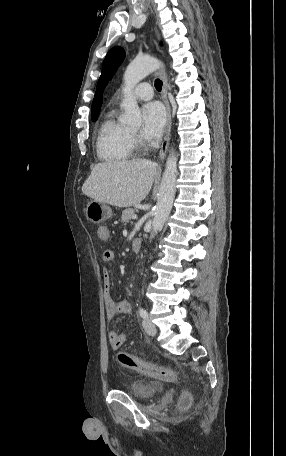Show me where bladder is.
Masks as SVG:
<instances>
[{
    "instance_id": "31cf9c89",
    "label": "bladder",
    "mask_w": 286,
    "mask_h": 456,
    "mask_svg": "<svg viewBox=\"0 0 286 456\" xmlns=\"http://www.w3.org/2000/svg\"><path fill=\"white\" fill-rule=\"evenodd\" d=\"M126 391L138 399H150L160 391V387L150 381L136 380L130 383Z\"/></svg>"
}]
</instances>
